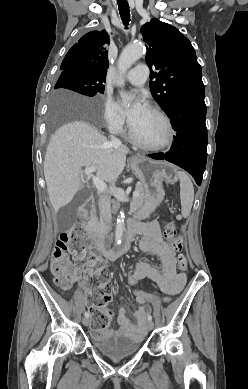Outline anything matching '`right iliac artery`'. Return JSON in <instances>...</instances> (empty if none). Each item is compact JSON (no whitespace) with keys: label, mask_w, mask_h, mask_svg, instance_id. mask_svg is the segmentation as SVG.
I'll list each match as a JSON object with an SVG mask.
<instances>
[{"label":"right iliac artery","mask_w":248,"mask_h":389,"mask_svg":"<svg viewBox=\"0 0 248 389\" xmlns=\"http://www.w3.org/2000/svg\"><path fill=\"white\" fill-rule=\"evenodd\" d=\"M84 315H85V317H87V318L90 316V314H89L88 312H85Z\"/></svg>","instance_id":"82829eb1"}]
</instances>
